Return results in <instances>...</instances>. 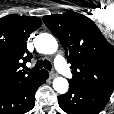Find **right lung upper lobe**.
Instances as JSON below:
<instances>
[{
	"instance_id": "obj_1",
	"label": "right lung upper lobe",
	"mask_w": 114,
	"mask_h": 114,
	"mask_svg": "<svg viewBox=\"0 0 114 114\" xmlns=\"http://www.w3.org/2000/svg\"><path fill=\"white\" fill-rule=\"evenodd\" d=\"M41 23L37 17L19 15H8L0 19V92L41 71L27 72L20 68L32 58L26 42Z\"/></svg>"
}]
</instances>
